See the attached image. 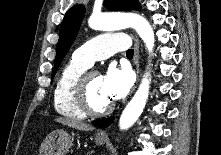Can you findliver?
<instances>
[{
    "label": "liver",
    "instance_id": "6515ba94",
    "mask_svg": "<svg viewBox=\"0 0 221 155\" xmlns=\"http://www.w3.org/2000/svg\"><path fill=\"white\" fill-rule=\"evenodd\" d=\"M55 121L80 131H91L94 129V127L91 126L90 124L78 120H72L68 118H57Z\"/></svg>",
    "mask_w": 221,
    "mask_h": 155
}]
</instances>
